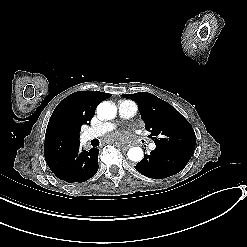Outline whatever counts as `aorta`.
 I'll list each match as a JSON object with an SVG mask.
<instances>
[{
    "label": "aorta",
    "instance_id": "aorta-1",
    "mask_svg": "<svg viewBox=\"0 0 247 247\" xmlns=\"http://www.w3.org/2000/svg\"><path fill=\"white\" fill-rule=\"evenodd\" d=\"M117 113L116 106L110 101H103L97 107V114L104 120L115 118ZM128 158L134 162H140L143 159V150L140 147H132L128 150Z\"/></svg>",
    "mask_w": 247,
    "mask_h": 247
}]
</instances>
